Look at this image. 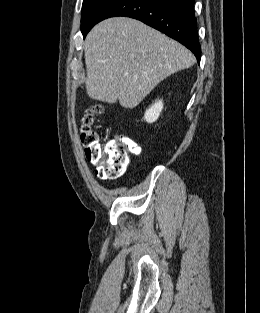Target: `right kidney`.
I'll list each match as a JSON object with an SVG mask.
<instances>
[{"label": "right kidney", "instance_id": "right-kidney-1", "mask_svg": "<svg viewBox=\"0 0 260 313\" xmlns=\"http://www.w3.org/2000/svg\"><path fill=\"white\" fill-rule=\"evenodd\" d=\"M163 109L162 100L156 101L149 109L146 110L144 119L147 123L155 122Z\"/></svg>", "mask_w": 260, "mask_h": 313}]
</instances>
